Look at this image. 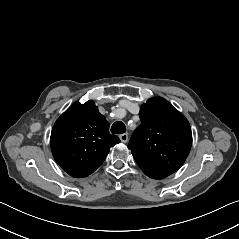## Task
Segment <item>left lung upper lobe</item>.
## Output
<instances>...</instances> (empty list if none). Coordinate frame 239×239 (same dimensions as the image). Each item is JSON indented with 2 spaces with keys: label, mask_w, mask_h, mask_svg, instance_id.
<instances>
[{
  "label": "left lung upper lobe",
  "mask_w": 239,
  "mask_h": 239,
  "mask_svg": "<svg viewBox=\"0 0 239 239\" xmlns=\"http://www.w3.org/2000/svg\"><path fill=\"white\" fill-rule=\"evenodd\" d=\"M139 116L141 124L128 144L136 163L147 176L173 174L183 165L191 149L188 120L161 97L143 104Z\"/></svg>",
  "instance_id": "left-lung-upper-lobe-1"
}]
</instances>
